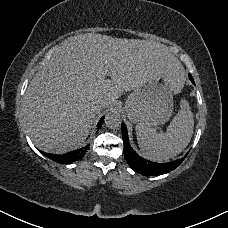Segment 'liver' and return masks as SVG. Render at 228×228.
Instances as JSON below:
<instances>
[{"instance_id": "1", "label": "liver", "mask_w": 228, "mask_h": 228, "mask_svg": "<svg viewBox=\"0 0 228 228\" xmlns=\"http://www.w3.org/2000/svg\"><path fill=\"white\" fill-rule=\"evenodd\" d=\"M167 74L174 93L180 92L186 81L184 67L161 43L93 33L69 38L45 61L25 92L27 132L44 152L75 150L102 109L112 106L124 91ZM98 100L101 110L95 108Z\"/></svg>"}]
</instances>
